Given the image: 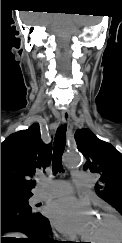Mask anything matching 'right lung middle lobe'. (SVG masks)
<instances>
[{"label":"right lung middle lobe","instance_id":"obj_1","mask_svg":"<svg viewBox=\"0 0 122 243\" xmlns=\"http://www.w3.org/2000/svg\"><path fill=\"white\" fill-rule=\"evenodd\" d=\"M30 197L31 196L19 197V198H11V199H4V200H1V204H13V205H17V206L29 207L28 199Z\"/></svg>","mask_w":122,"mask_h":243}]
</instances>
